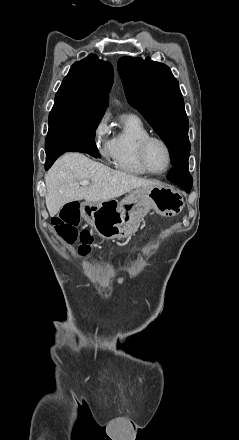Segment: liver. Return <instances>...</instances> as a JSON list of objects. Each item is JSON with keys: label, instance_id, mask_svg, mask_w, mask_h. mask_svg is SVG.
<instances>
[{"label": "liver", "instance_id": "6515ba94", "mask_svg": "<svg viewBox=\"0 0 239 440\" xmlns=\"http://www.w3.org/2000/svg\"><path fill=\"white\" fill-rule=\"evenodd\" d=\"M91 180L92 186L76 184ZM47 210L53 218L59 210L74 200L86 202H106L119 198L137 188H156L161 186L157 180H144L132 174L111 170L104 164L93 162L83 154H64L56 160L45 176Z\"/></svg>", "mask_w": 239, "mask_h": 440}]
</instances>
